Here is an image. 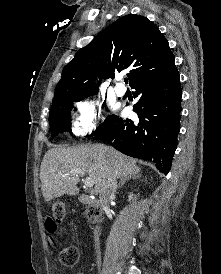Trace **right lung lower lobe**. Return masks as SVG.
<instances>
[{
  "mask_svg": "<svg viewBox=\"0 0 221 274\" xmlns=\"http://www.w3.org/2000/svg\"><path fill=\"white\" fill-rule=\"evenodd\" d=\"M131 87L140 98L133 107L138 120L114 116L94 138L112 141L128 156L154 162L167 175L177 148L182 97L174 58Z\"/></svg>",
  "mask_w": 221,
  "mask_h": 274,
  "instance_id": "obj_1",
  "label": "right lung lower lobe"
}]
</instances>
